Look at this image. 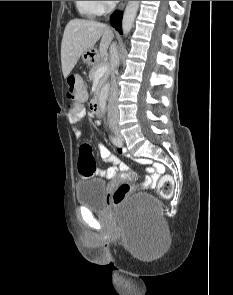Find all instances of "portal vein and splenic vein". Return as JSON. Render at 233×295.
<instances>
[{
	"mask_svg": "<svg viewBox=\"0 0 233 295\" xmlns=\"http://www.w3.org/2000/svg\"><path fill=\"white\" fill-rule=\"evenodd\" d=\"M107 70H108L107 65L100 66L96 71V77L102 76L105 72H107Z\"/></svg>",
	"mask_w": 233,
	"mask_h": 295,
	"instance_id": "obj_1",
	"label": "portal vein and splenic vein"
}]
</instances>
